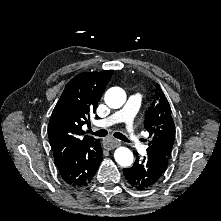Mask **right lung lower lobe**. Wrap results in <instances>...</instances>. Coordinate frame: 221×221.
<instances>
[{
  "label": "right lung lower lobe",
  "mask_w": 221,
  "mask_h": 221,
  "mask_svg": "<svg viewBox=\"0 0 221 221\" xmlns=\"http://www.w3.org/2000/svg\"><path fill=\"white\" fill-rule=\"evenodd\" d=\"M100 139L84 144L56 165L62 179L70 186H87L95 175L102 160Z\"/></svg>",
  "instance_id": "1"
}]
</instances>
